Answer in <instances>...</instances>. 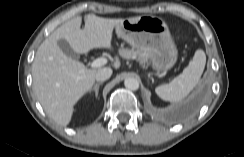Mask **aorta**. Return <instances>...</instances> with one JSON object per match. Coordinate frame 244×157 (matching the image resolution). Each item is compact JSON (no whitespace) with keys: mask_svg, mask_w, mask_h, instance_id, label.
Returning <instances> with one entry per match:
<instances>
[{"mask_svg":"<svg viewBox=\"0 0 244 157\" xmlns=\"http://www.w3.org/2000/svg\"><path fill=\"white\" fill-rule=\"evenodd\" d=\"M124 85L127 89L137 90L139 88V81L134 77H127L124 80Z\"/></svg>","mask_w":244,"mask_h":157,"instance_id":"762f6f07","label":"aorta"}]
</instances>
